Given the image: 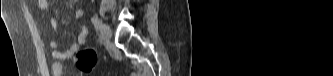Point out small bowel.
<instances>
[{"instance_id":"small-bowel-1","label":"small bowel","mask_w":333,"mask_h":76,"mask_svg":"<svg viewBox=\"0 0 333 76\" xmlns=\"http://www.w3.org/2000/svg\"><path fill=\"white\" fill-rule=\"evenodd\" d=\"M38 7L40 9L46 10L49 7V1L47 0H37L36 1ZM84 12L82 9H77L74 13L75 19L79 22ZM49 24L56 34V39L50 41L49 46L51 48V56L55 60L66 61L71 59L76 52L83 46L87 41L88 29L85 25L79 22V35L77 40L70 44L65 50H59V37H58V22L55 18L51 17L49 19ZM52 70L54 76H62L63 75V65L59 62H55L52 65Z\"/></svg>"}]
</instances>
